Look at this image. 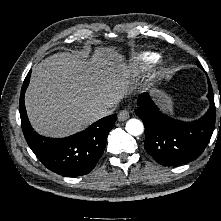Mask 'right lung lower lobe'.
Here are the masks:
<instances>
[{
	"label": "right lung lower lobe",
	"mask_w": 221,
	"mask_h": 221,
	"mask_svg": "<svg viewBox=\"0 0 221 221\" xmlns=\"http://www.w3.org/2000/svg\"><path fill=\"white\" fill-rule=\"evenodd\" d=\"M31 71L26 76L20 95V117L25 139L38 159L51 171L63 176H79L90 172L102 156L107 136L117 116L100 119L86 130L70 137L53 139L33 131L24 105V94Z\"/></svg>",
	"instance_id": "right-lung-lower-lobe-1"
}]
</instances>
